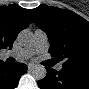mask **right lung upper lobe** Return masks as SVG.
I'll use <instances>...</instances> for the list:
<instances>
[{"instance_id": "1", "label": "right lung upper lobe", "mask_w": 89, "mask_h": 89, "mask_svg": "<svg viewBox=\"0 0 89 89\" xmlns=\"http://www.w3.org/2000/svg\"><path fill=\"white\" fill-rule=\"evenodd\" d=\"M34 19L31 10L18 5L0 8V49L12 48L18 33L25 29Z\"/></svg>"}]
</instances>
